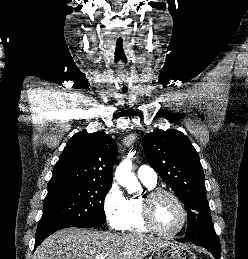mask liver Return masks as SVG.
<instances>
[{
  "label": "liver",
  "instance_id": "obj_1",
  "mask_svg": "<svg viewBox=\"0 0 248 259\" xmlns=\"http://www.w3.org/2000/svg\"><path fill=\"white\" fill-rule=\"evenodd\" d=\"M167 242L143 234H116L93 229L67 228L50 235L34 259H144Z\"/></svg>",
  "mask_w": 248,
  "mask_h": 259
}]
</instances>
